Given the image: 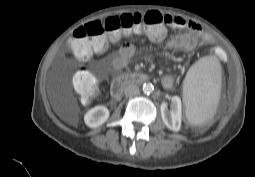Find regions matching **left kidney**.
<instances>
[{"mask_svg":"<svg viewBox=\"0 0 255 177\" xmlns=\"http://www.w3.org/2000/svg\"><path fill=\"white\" fill-rule=\"evenodd\" d=\"M172 109L170 112L167 109L166 103L161 104V116L164 124L173 131H179L181 127L182 118V104L178 96L171 98Z\"/></svg>","mask_w":255,"mask_h":177,"instance_id":"1","label":"left kidney"}]
</instances>
